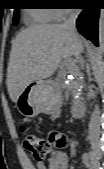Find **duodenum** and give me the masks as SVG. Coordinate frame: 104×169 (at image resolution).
Wrapping results in <instances>:
<instances>
[{
	"mask_svg": "<svg viewBox=\"0 0 104 169\" xmlns=\"http://www.w3.org/2000/svg\"><path fill=\"white\" fill-rule=\"evenodd\" d=\"M83 113H84V106L82 103H76L73 106V115L75 117L76 120H79L80 118L83 117Z\"/></svg>",
	"mask_w": 104,
	"mask_h": 169,
	"instance_id": "1",
	"label": "duodenum"
}]
</instances>
